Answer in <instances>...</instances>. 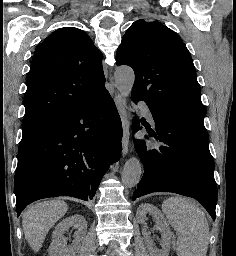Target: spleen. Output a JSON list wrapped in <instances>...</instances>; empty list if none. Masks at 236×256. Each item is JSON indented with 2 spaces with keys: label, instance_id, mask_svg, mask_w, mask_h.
I'll return each mask as SVG.
<instances>
[{
  "label": "spleen",
  "instance_id": "obj_1",
  "mask_svg": "<svg viewBox=\"0 0 236 256\" xmlns=\"http://www.w3.org/2000/svg\"><path fill=\"white\" fill-rule=\"evenodd\" d=\"M162 210L178 236L177 256H206L209 226L199 206L186 198L174 196L163 202Z\"/></svg>",
  "mask_w": 236,
  "mask_h": 256
}]
</instances>
